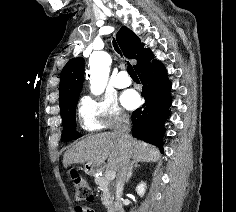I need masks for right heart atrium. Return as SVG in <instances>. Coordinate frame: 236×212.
Wrapping results in <instances>:
<instances>
[{"mask_svg":"<svg viewBox=\"0 0 236 212\" xmlns=\"http://www.w3.org/2000/svg\"><path fill=\"white\" fill-rule=\"evenodd\" d=\"M81 126L86 131L114 128L128 121V116L112 96L84 97L78 107Z\"/></svg>","mask_w":236,"mask_h":212,"instance_id":"d8ad5b80","label":"right heart atrium"}]
</instances>
